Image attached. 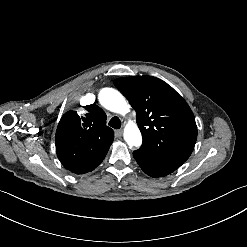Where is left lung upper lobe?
Instances as JSON below:
<instances>
[{
	"mask_svg": "<svg viewBox=\"0 0 247 247\" xmlns=\"http://www.w3.org/2000/svg\"><path fill=\"white\" fill-rule=\"evenodd\" d=\"M114 84L136 110L143 137L141 148L182 165L197 139L194 114L186 101L152 76L118 78Z\"/></svg>",
	"mask_w": 247,
	"mask_h": 247,
	"instance_id": "obj_1",
	"label": "left lung upper lobe"
}]
</instances>
